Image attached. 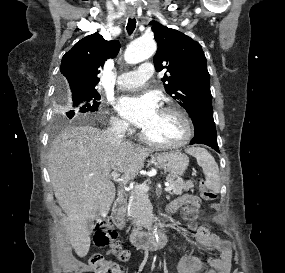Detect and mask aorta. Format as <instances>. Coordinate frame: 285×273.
Returning <instances> with one entry per match:
<instances>
[{
	"mask_svg": "<svg viewBox=\"0 0 285 273\" xmlns=\"http://www.w3.org/2000/svg\"><path fill=\"white\" fill-rule=\"evenodd\" d=\"M157 45L153 39L141 38L132 42L126 49L124 57L128 64H136L149 59L155 54Z\"/></svg>",
	"mask_w": 285,
	"mask_h": 273,
	"instance_id": "obj_1",
	"label": "aorta"
}]
</instances>
